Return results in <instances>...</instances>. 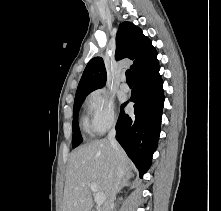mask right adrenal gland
Returning <instances> with one entry per match:
<instances>
[{"instance_id":"1","label":"right adrenal gland","mask_w":221,"mask_h":211,"mask_svg":"<svg viewBox=\"0 0 221 211\" xmlns=\"http://www.w3.org/2000/svg\"><path fill=\"white\" fill-rule=\"evenodd\" d=\"M130 177L129 176H126L125 178H123V180L121 181L119 187H118V190L117 192L120 193L121 190L125 187V186H129L130 185Z\"/></svg>"}]
</instances>
